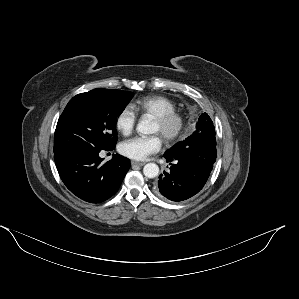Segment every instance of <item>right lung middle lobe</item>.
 <instances>
[{"label":"right lung middle lobe","mask_w":299,"mask_h":299,"mask_svg":"<svg viewBox=\"0 0 299 299\" xmlns=\"http://www.w3.org/2000/svg\"><path fill=\"white\" fill-rule=\"evenodd\" d=\"M133 95L129 91L94 89L74 96L58 120L54 153L77 147L113 149L116 120Z\"/></svg>","instance_id":"1"}]
</instances>
